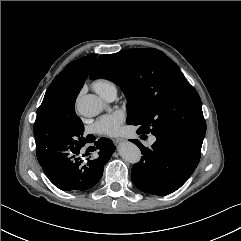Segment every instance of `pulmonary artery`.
Returning <instances> with one entry per match:
<instances>
[{"instance_id":"pulmonary-artery-1","label":"pulmonary artery","mask_w":241,"mask_h":241,"mask_svg":"<svg viewBox=\"0 0 241 241\" xmlns=\"http://www.w3.org/2000/svg\"><path fill=\"white\" fill-rule=\"evenodd\" d=\"M116 95H117V90L116 89H113L111 91H109L105 96L104 98L108 101H113L115 98H116ZM156 140L155 137H151L150 138V143H154Z\"/></svg>"}]
</instances>
